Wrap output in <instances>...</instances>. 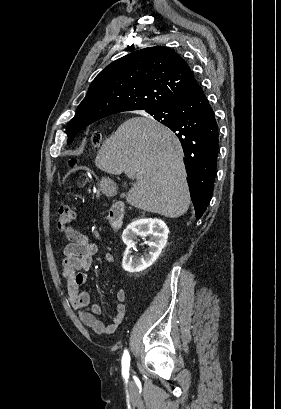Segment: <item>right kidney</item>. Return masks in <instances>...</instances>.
Listing matches in <instances>:
<instances>
[{
	"label": "right kidney",
	"instance_id": "obj_1",
	"mask_svg": "<svg viewBox=\"0 0 281 409\" xmlns=\"http://www.w3.org/2000/svg\"><path fill=\"white\" fill-rule=\"evenodd\" d=\"M169 229L161 219H135L122 233V241L127 245L124 253L122 267L127 273H140L151 267L158 259L162 249H164L168 239ZM138 237H149V241H144L149 245L148 253L142 257L131 255V247L139 241Z\"/></svg>",
	"mask_w": 281,
	"mask_h": 409
}]
</instances>
